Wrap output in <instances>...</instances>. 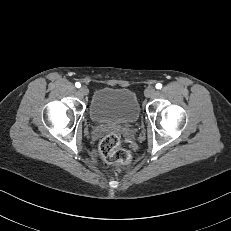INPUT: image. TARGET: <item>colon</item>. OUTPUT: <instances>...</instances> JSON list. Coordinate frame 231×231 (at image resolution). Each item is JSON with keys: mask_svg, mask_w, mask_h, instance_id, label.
Here are the masks:
<instances>
[{"mask_svg": "<svg viewBox=\"0 0 231 231\" xmlns=\"http://www.w3.org/2000/svg\"><path fill=\"white\" fill-rule=\"evenodd\" d=\"M99 151L106 163L127 166L131 162V155L121 146V138L117 134L105 136L100 143Z\"/></svg>", "mask_w": 231, "mask_h": 231, "instance_id": "colon-1", "label": "colon"}]
</instances>
